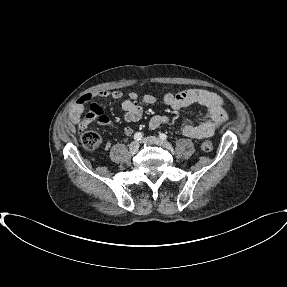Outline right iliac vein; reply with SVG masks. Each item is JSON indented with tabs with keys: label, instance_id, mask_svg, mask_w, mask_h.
Returning a JSON list of instances; mask_svg holds the SVG:
<instances>
[{
	"label": "right iliac vein",
	"instance_id": "1",
	"mask_svg": "<svg viewBox=\"0 0 287 287\" xmlns=\"http://www.w3.org/2000/svg\"><path fill=\"white\" fill-rule=\"evenodd\" d=\"M139 150V143L137 141H133L129 145V151L131 153H136Z\"/></svg>",
	"mask_w": 287,
	"mask_h": 287
}]
</instances>
